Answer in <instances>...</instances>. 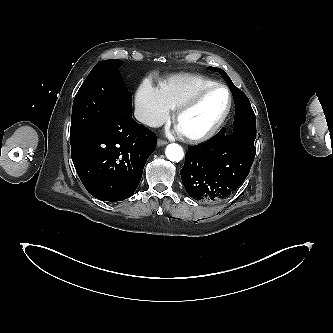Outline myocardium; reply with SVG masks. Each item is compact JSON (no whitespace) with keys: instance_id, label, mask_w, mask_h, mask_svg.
<instances>
[{"instance_id":"f54148a6","label":"myocardium","mask_w":333,"mask_h":333,"mask_svg":"<svg viewBox=\"0 0 333 333\" xmlns=\"http://www.w3.org/2000/svg\"><path fill=\"white\" fill-rule=\"evenodd\" d=\"M218 88H222L227 92L228 103H227V106H226L224 112L222 113L220 118L209 129H207L204 132L196 133V134H187V133L181 132L183 137L187 141L192 142V143L204 142V141L211 139L219 132V130L222 128V126L225 124L226 120L228 119V117L231 113L232 107H233V96H232L231 90L229 89L228 86H226L222 83H214L212 85L203 87L202 89L197 91L193 96H191L186 102H184L181 106H179L176 109L173 121H174L175 126L178 127V123H179L181 117L185 113H187L192 108H194L206 94H208L209 92H211L215 89H218Z\"/></svg>"}]
</instances>
